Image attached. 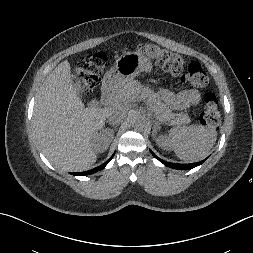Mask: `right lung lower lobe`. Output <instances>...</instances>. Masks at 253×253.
Returning <instances> with one entry per match:
<instances>
[{
	"mask_svg": "<svg viewBox=\"0 0 253 253\" xmlns=\"http://www.w3.org/2000/svg\"><path fill=\"white\" fill-rule=\"evenodd\" d=\"M113 156H114V154L112 155V157ZM112 157L109 160H107L104 164H102V165H100V166H98V167H96V168H94L92 170L85 171V172H79V173H71V174H73V175H80L81 176V175H89V174L95 173V172L103 169L109 163V161L112 159Z\"/></svg>",
	"mask_w": 253,
	"mask_h": 253,
	"instance_id": "right-lung-lower-lobe-1",
	"label": "right lung lower lobe"
}]
</instances>
